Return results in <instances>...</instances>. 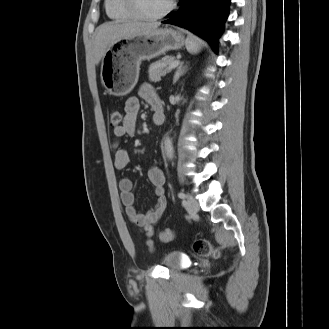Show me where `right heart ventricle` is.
<instances>
[{"label":"right heart ventricle","instance_id":"1","mask_svg":"<svg viewBox=\"0 0 329 329\" xmlns=\"http://www.w3.org/2000/svg\"><path fill=\"white\" fill-rule=\"evenodd\" d=\"M107 16L115 21H126L134 17L125 9L122 0H105Z\"/></svg>","mask_w":329,"mask_h":329}]
</instances>
